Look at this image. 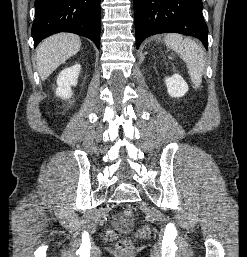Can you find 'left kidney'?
I'll return each mask as SVG.
<instances>
[{
	"instance_id": "1",
	"label": "left kidney",
	"mask_w": 247,
	"mask_h": 257,
	"mask_svg": "<svg viewBox=\"0 0 247 257\" xmlns=\"http://www.w3.org/2000/svg\"><path fill=\"white\" fill-rule=\"evenodd\" d=\"M167 92L171 97L179 98L188 91V85L180 75H173L165 79Z\"/></svg>"
}]
</instances>
